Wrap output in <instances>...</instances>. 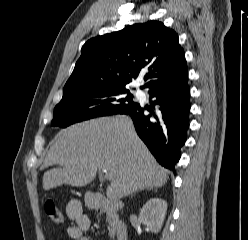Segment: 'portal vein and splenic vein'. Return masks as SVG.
Returning a JSON list of instances; mask_svg holds the SVG:
<instances>
[{
  "mask_svg": "<svg viewBox=\"0 0 248 240\" xmlns=\"http://www.w3.org/2000/svg\"><path fill=\"white\" fill-rule=\"evenodd\" d=\"M102 172L105 174L106 178H108V179L112 178V174L108 170L103 169Z\"/></svg>",
  "mask_w": 248,
  "mask_h": 240,
  "instance_id": "18ae733b",
  "label": "portal vein and splenic vein"
}]
</instances>
